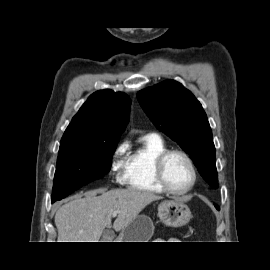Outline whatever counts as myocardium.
Returning a JSON list of instances; mask_svg holds the SVG:
<instances>
[{"mask_svg": "<svg viewBox=\"0 0 270 270\" xmlns=\"http://www.w3.org/2000/svg\"><path fill=\"white\" fill-rule=\"evenodd\" d=\"M174 154L181 155L182 157L185 158V160L188 162L191 171H192V181L188 187H186L183 190H176L172 188L165 177V163L167 159ZM154 174L157 183L160 185V187L167 193L174 194V195H184L190 192L194 186L196 185L197 178H198V173H197V168L196 165L191 158V156L184 150L182 149H167L163 151L161 154H159L155 160L154 163Z\"/></svg>", "mask_w": 270, "mask_h": 270, "instance_id": "obj_1", "label": "myocardium"}]
</instances>
